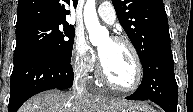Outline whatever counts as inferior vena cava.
<instances>
[{"mask_svg": "<svg viewBox=\"0 0 193 112\" xmlns=\"http://www.w3.org/2000/svg\"><path fill=\"white\" fill-rule=\"evenodd\" d=\"M74 93H76L77 95H82L84 93H87L86 90V82L83 79L82 75L79 74L78 76H76L75 78V82H74Z\"/></svg>", "mask_w": 193, "mask_h": 112, "instance_id": "602c4592", "label": "inferior vena cava"}]
</instances>
